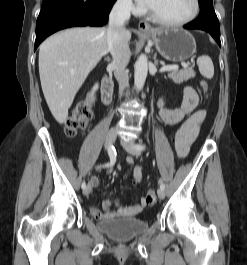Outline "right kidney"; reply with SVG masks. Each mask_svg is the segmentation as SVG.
<instances>
[{
    "instance_id": "obj_1",
    "label": "right kidney",
    "mask_w": 247,
    "mask_h": 265,
    "mask_svg": "<svg viewBox=\"0 0 247 265\" xmlns=\"http://www.w3.org/2000/svg\"><path fill=\"white\" fill-rule=\"evenodd\" d=\"M97 89H98V84H95L94 87H93L92 92H95Z\"/></svg>"
}]
</instances>
